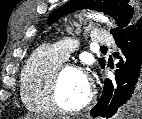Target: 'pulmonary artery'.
<instances>
[{"instance_id": "pulmonary-artery-1", "label": "pulmonary artery", "mask_w": 142, "mask_h": 119, "mask_svg": "<svg viewBox=\"0 0 142 119\" xmlns=\"http://www.w3.org/2000/svg\"><path fill=\"white\" fill-rule=\"evenodd\" d=\"M92 42L97 45H114L113 37L105 30H98L91 35ZM56 53L66 60L77 48V43L72 39H64L52 45Z\"/></svg>"}]
</instances>
